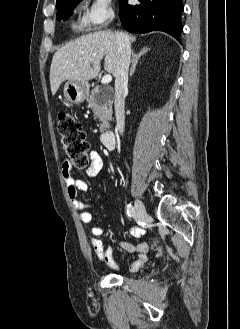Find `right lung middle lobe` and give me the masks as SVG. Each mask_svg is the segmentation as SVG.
<instances>
[{
	"instance_id": "obj_1",
	"label": "right lung middle lobe",
	"mask_w": 240,
	"mask_h": 329,
	"mask_svg": "<svg viewBox=\"0 0 240 329\" xmlns=\"http://www.w3.org/2000/svg\"><path fill=\"white\" fill-rule=\"evenodd\" d=\"M82 0H66L61 4L57 5V18L58 20H66L72 14L75 4H78Z\"/></svg>"
}]
</instances>
